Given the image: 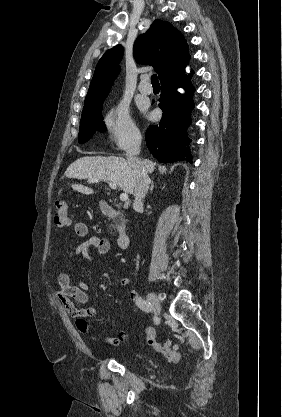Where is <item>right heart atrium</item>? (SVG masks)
<instances>
[{"label":"right heart atrium","mask_w":282,"mask_h":417,"mask_svg":"<svg viewBox=\"0 0 282 417\" xmlns=\"http://www.w3.org/2000/svg\"><path fill=\"white\" fill-rule=\"evenodd\" d=\"M105 124L121 149L127 150L136 145L139 133L124 105H118L111 110L106 116Z\"/></svg>","instance_id":"d8ad5b80"}]
</instances>
